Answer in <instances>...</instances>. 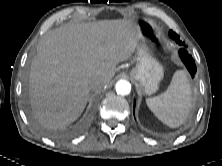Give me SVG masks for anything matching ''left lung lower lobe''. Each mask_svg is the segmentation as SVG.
<instances>
[{
    "mask_svg": "<svg viewBox=\"0 0 222 166\" xmlns=\"http://www.w3.org/2000/svg\"><path fill=\"white\" fill-rule=\"evenodd\" d=\"M177 43L182 47L179 50V55L193 78L194 74L196 73L195 62H194L193 58L191 57V55H189L188 52L186 51L185 44L181 41L177 42Z\"/></svg>",
    "mask_w": 222,
    "mask_h": 166,
    "instance_id": "obj_1",
    "label": "left lung lower lobe"
}]
</instances>
